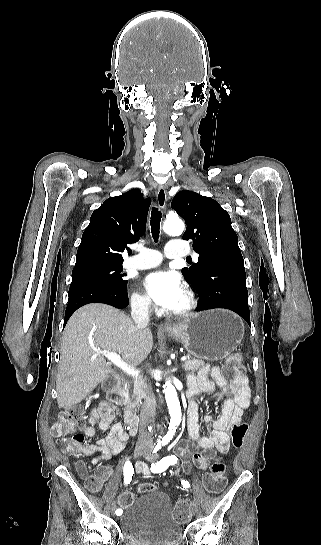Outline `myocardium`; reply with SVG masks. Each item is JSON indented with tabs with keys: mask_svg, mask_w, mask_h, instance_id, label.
<instances>
[{
	"mask_svg": "<svg viewBox=\"0 0 321 545\" xmlns=\"http://www.w3.org/2000/svg\"><path fill=\"white\" fill-rule=\"evenodd\" d=\"M184 293L187 298V305L181 310L173 311L172 313L176 316H188L198 307V299L195 292L189 287H184Z\"/></svg>",
	"mask_w": 321,
	"mask_h": 545,
	"instance_id": "myocardium-1",
	"label": "myocardium"
}]
</instances>
